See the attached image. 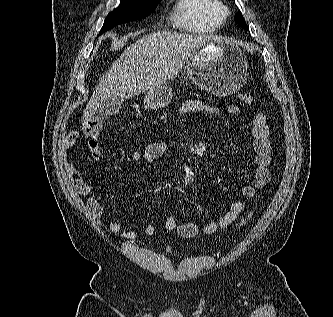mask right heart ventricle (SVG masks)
Returning <instances> with one entry per match:
<instances>
[{"label": "right heart ventricle", "mask_w": 333, "mask_h": 317, "mask_svg": "<svg viewBox=\"0 0 333 317\" xmlns=\"http://www.w3.org/2000/svg\"><path fill=\"white\" fill-rule=\"evenodd\" d=\"M219 5V0H176L171 12L172 24L189 33H213L224 22Z\"/></svg>", "instance_id": "e07e8e85"}]
</instances>
